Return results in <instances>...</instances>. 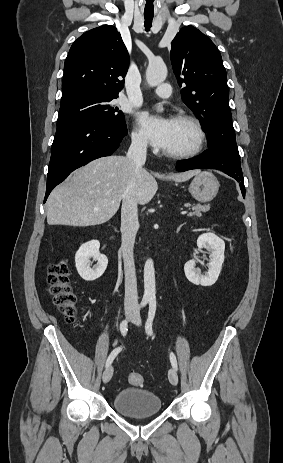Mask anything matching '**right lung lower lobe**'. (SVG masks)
Returning a JSON list of instances; mask_svg holds the SVG:
<instances>
[{
    "mask_svg": "<svg viewBox=\"0 0 283 463\" xmlns=\"http://www.w3.org/2000/svg\"><path fill=\"white\" fill-rule=\"evenodd\" d=\"M127 135L126 125L81 121L58 128L52 144L44 203L52 189L75 169L111 155Z\"/></svg>",
    "mask_w": 283,
    "mask_h": 463,
    "instance_id": "98d812e1",
    "label": "right lung lower lobe"
}]
</instances>
